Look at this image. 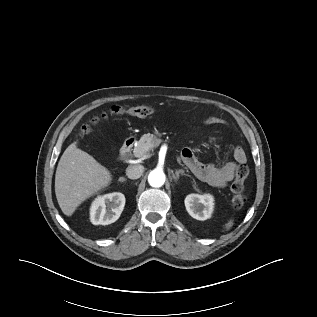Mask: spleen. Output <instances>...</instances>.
Here are the masks:
<instances>
[{
    "mask_svg": "<svg viewBox=\"0 0 317 317\" xmlns=\"http://www.w3.org/2000/svg\"><path fill=\"white\" fill-rule=\"evenodd\" d=\"M233 226V221L229 220L225 225V230H229Z\"/></svg>",
    "mask_w": 317,
    "mask_h": 317,
    "instance_id": "3e777b00",
    "label": "spleen"
}]
</instances>
